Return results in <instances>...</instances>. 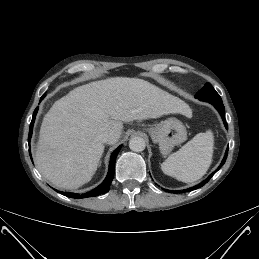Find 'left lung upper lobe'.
<instances>
[{"mask_svg": "<svg viewBox=\"0 0 259 259\" xmlns=\"http://www.w3.org/2000/svg\"><path fill=\"white\" fill-rule=\"evenodd\" d=\"M199 100L212 102V101H222L219 94L211 86L210 83H207L195 96Z\"/></svg>", "mask_w": 259, "mask_h": 259, "instance_id": "obj_1", "label": "left lung upper lobe"}]
</instances>
